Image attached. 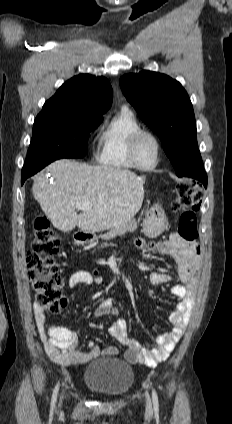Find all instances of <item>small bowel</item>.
I'll return each instance as SVG.
<instances>
[{
	"mask_svg": "<svg viewBox=\"0 0 232 424\" xmlns=\"http://www.w3.org/2000/svg\"><path fill=\"white\" fill-rule=\"evenodd\" d=\"M135 245L140 249L156 251L175 260L178 265L177 277L182 283L170 288V292L178 300V304L169 315L172 329L156 338V345L143 349L140 344L128 333V324L125 319H117L109 328V334L127 348L124 358L130 363H142L148 367H155L165 361L185 332L195 305L197 272L200 267L201 249L197 243H185L178 234H171L169 238L157 242H148L144 238H137ZM151 284L157 286L172 280V276L164 272H153L149 276ZM103 278L86 270H77L70 274L67 287L76 288L86 285H101ZM66 306V301H62ZM34 315L40 339L48 356L62 366L84 364L100 356H113L118 353L115 346L101 349L90 343L87 351L78 349L79 332L65 327H46L45 312L34 305ZM118 309L111 298L104 299L94 311V317L118 315Z\"/></svg>",
	"mask_w": 232,
	"mask_h": 424,
	"instance_id": "obj_1",
	"label": "small bowel"
}]
</instances>
